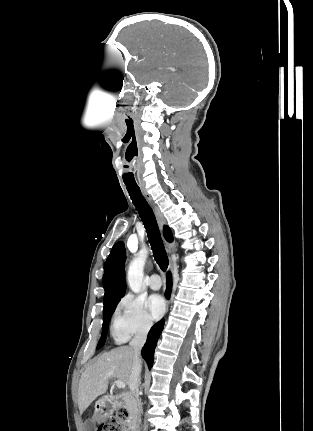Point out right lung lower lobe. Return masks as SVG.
I'll list each match as a JSON object with an SVG mask.
<instances>
[{
	"label": "right lung lower lobe",
	"instance_id": "98d812e1",
	"mask_svg": "<svg viewBox=\"0 0 313 431\" xmlns=\"http://www.w3.org/2000/svg\"><path fill=\"white\" fill-rule=\"evenodd\" d=\"M171 291V274H167V290H166V298H169ZM164 327V320L162 319L158 323H156L150 330L147 341L142 348V357L147 362L149 369H151L154 360V351L157 345V341L160 337V334Z\"/></svg>",
	"mask_w": 313,
	"mask_h": 431
}]
</instances>
